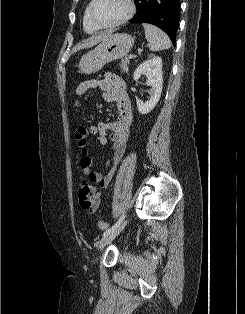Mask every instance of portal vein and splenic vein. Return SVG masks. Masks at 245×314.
I'll list each match as a JSON object with an SVG mask.
<instances>
[{
  "label": "portal vein and splenic vein",
  "mask_w": 245,
  "mask_h": 314,
  "mask_svg": "<svg viewBox=\"0 0 245 314\" xmlns=\"http://www.w3.org/2000/svg\"><path fill=\"white\" fill-rule=\"evenodd\" d=\"M133 57H134V54H132V53L129 54V56H128L129 59H132Z\"/></svg>",
  "instance_id": "18ae733b"
}]
</instances>
